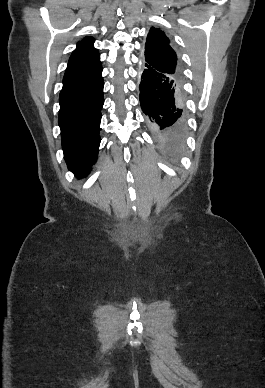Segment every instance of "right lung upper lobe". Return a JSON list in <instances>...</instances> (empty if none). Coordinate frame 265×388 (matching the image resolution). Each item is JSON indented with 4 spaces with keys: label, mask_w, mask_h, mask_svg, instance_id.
Segmentation results:
<instances>
[{
    "label": "right lung upper lobe",
    "mask_w": 265,
    "mask_h": 388,
    "mask_svg": "<svg viewBox=\"0 0 265 388\" xmlns=\"http://www.w3.org/2000/svg\"><path fill=\"white\" fill-rule=\"evenodd\" d=\"M94 38L85 37L72 53L63 78V85L85 81L102 73L100 55L93 47Z\"/></svg>",
    "instance_id": "right-lung-upper-lobe-1"
}]
</instances>
